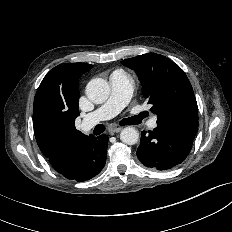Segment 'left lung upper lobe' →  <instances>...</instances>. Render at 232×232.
Returning a JSON list of instances; mask_svg holds the SVG:
<instances>
[{"mask_svg":"<svg viewBox=\"0 0 232 232\" xmlns=\"http://www.w3.org/2000/svg\"><path fill=\"white\" fill-rule=\"evenodd\" d=\"M121 63L134 70L143 95L157 121L174 118L198 120V107L185 72L173 61L155 53L143 54Z\"/></svg>","mask_w":232,"mask_h":232,"instance_id":"left-lung-upper-lobe-1","label":"left lung upper lobe"}]
</instances>
